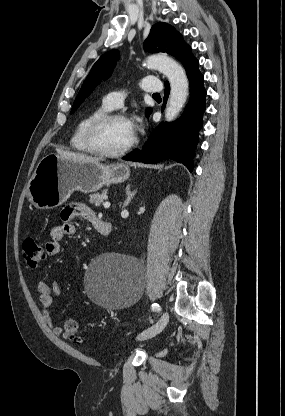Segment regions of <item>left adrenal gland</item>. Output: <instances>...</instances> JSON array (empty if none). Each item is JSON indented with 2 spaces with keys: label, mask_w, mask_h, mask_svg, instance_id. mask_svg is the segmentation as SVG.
<instances>
[{
  "label": "left adrenal gland",
  "mask_w": 285,
  "mask_h": 416,
  "mask_svg": "<svg viewBox=\"0 0 285 416\" xmlns=\"http://www.w3.org/2000/svg\"><path fill=\"white\" fill-rule=\"evenodd\" d=\"M126 194H127V198L122 206V208H126V206H128V204H130L132 198H134L135 194H136V190L135 192H131L130 190V184H128L127 188H126Z\"/></svg>",
  "instance_id": "left-adrenal-gland-1"
}]
</instances>
